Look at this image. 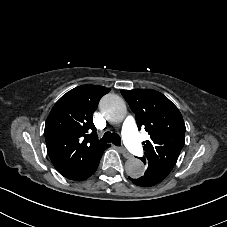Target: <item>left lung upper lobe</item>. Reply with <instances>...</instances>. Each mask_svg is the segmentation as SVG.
<instances>
[{
    "label": "left lung upper lobe",
    "instance_id": "1",
    "mask_svg": "<svg viewBox=\"0 0 227 227\" xmlns=\"http://www.w3.org/2000/svg\"><path fill=\"white\" fill-rule=\"evenodd\" d=\"M121 94L136 115L139 130L145 127L150 135V140L143 142L145 154L141 160L169 174L185 143L186 127L180 111L155 90H121Z\"/></svg>",
    "mask_w": 227,
    "mask_h": 227
}]
</instances>
